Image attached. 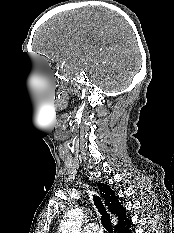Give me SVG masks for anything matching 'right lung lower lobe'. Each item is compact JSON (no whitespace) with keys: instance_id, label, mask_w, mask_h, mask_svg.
<instances>
[{"instance_id":"98d812e1","label":"right lung lower lobe","mask_w":174,"mask_h":233,"mask_svg":"<svg viewBox=\"0 0 174 233\" xmlns=\"http://www.w3.org/2000/svg\"><path fill=\"white\" fill-rule=\"evenodd\" d=\"M130 225H131V223L129 225H127L126 227H124L123 229L115 231V233H131Z\"/></svg>"}]
</instances>
